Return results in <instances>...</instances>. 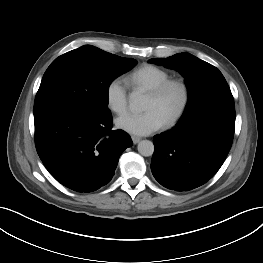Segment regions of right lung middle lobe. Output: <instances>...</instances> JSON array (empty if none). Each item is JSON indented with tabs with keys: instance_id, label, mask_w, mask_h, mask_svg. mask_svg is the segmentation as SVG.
Segmentation results:
<instances>
[{
	"instance_id": "1",
	"label": "right lung middle lobe",
	"mask_w": 263,
	"mask_h": 263,
	"mask_svg": "<svg viewBox=\"0 0 263 263\" xmlns=\"http://www.w3.org/2000/svg\"><path fill=\"white\" fill-rule=\"evenodd\" d=\"M137 64L92 45H84L56 58L42 78L34 114L56 107H74L96 115L110 114L111 82Z\"/></svg>"
}]
</instances>
